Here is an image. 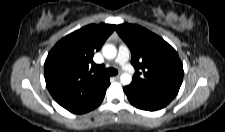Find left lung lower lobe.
<instances>
[{
    "label": "left lung lower lobe",
    "instance_id": "obj_1",
    "mask_svg": "<svg viewBox=\"0 0 225 132\" xmlns=\"http://www.w3.org/2000/svg\"><path fill=\"white\" fill-rule=\"evenodd\" d=\"M124 92L132 105L146 111L162 109L174 98L167 94L145 92L131 85L124 87Z\"/></svg>",
    "mask_w": 225,
    "mask_h": 132
}]
</instances>
